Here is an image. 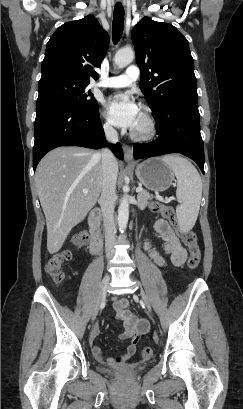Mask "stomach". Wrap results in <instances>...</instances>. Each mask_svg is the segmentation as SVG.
<instances>
[{
  "label": "stomach",
  "mask_w": 243,
  "mask_h": 409,
  "mask_svg": "<svg viewBox=\"0 0 243 409\" xmlns=\"http://www.w3.org/2000/svg\"><path fill=\"white\" fill-rule=\"evenodd\" d=\"M139 181L149 190L159 192L168 189L174 172L161 158H150L138 164L135 170Z\"/></svg>",
  "instance_id": "1"
}]
</instances>
